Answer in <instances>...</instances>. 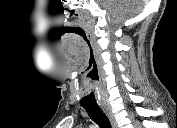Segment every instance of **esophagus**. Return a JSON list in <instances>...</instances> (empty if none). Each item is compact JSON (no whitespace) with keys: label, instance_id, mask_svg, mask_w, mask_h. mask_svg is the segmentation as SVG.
Listing matches in <instances>:
<instances>
[{"label":"esophagus","instance_id":"obj_1","mask_svg":"<svg viewBox=\"0 0 177 128\" xmlns=\"http://www.w3.org/2000/svg\"><path fill=\"white\" fill-rule=\"evenodd\" d=\"M101 110L104 112V114L108 117L112 128H118V125L116 123L114 114L111 110V108L108 105H101Z\"/></svg>","mask_w":177,"mask_h":128}]
</instances>
